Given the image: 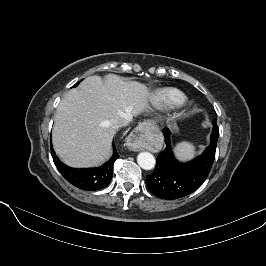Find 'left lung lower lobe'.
Masks as SVG:
<instances>
[{
  "label": "left lung lower lobe",
  "mask_w": 266,
  "mask_h": 266,
  "mask_svg": "<svg viewBox=\"0 0 266 266\" xmlns=\"http://www.w3.org/2000/svg\"><path fill=\"white\" fill-rule=\"evenodd\" d=\"M163 134L166 148L157 157L155 170L146 177V184L155 196L174 200L191 194L203 184L212 168L218 139H211L201 156L180 163L174 158L169 130L163 129Z\"/></svg>",
  "instance_id": "obj_1"
}]
</instances>
